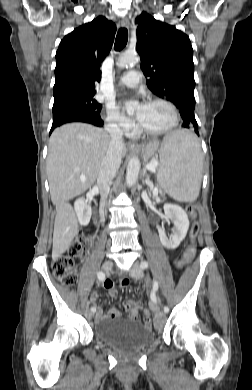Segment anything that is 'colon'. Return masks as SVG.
Wrapping results in <instances>:
<instances>
[{
	"label": "colon",
	"instance_id": "5ec220e1",
	"mask_svg": "<svg viewBox=\"0 0 252 390\" xmlns=\"http://www.w3.org/2000/svg\"><path fill=\"white\" fill-rule=\"evenodd\" d=\"M187 211L189 215L195 219L196 217V207L193 204L188 205ZM199 224L195 221L191 227L188 246L184 254L183 261L187 262L193 258L196 252V237L199 233ZM91 241L90 238L86 235H81L77 237L70 245L69 251L67 254L61 255L53 262V272L54 275L62 282L65 286H73L77 280V272L75 267V259L81 257L85 254L89 247ZM126 282H122V288L127 287ZM152 320V315L149 310L144 311V323L150 325Z\"/></svg>",
	"mask_w": 252,
	"mask_h": 390
}]
</instances>
